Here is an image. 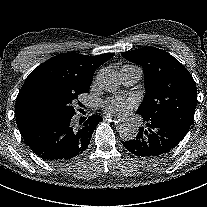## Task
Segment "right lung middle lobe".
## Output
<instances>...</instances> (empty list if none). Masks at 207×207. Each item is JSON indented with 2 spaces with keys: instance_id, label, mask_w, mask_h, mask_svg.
<instances>
[{
  "instance_id": "1",
  "label": "right lung middle lobe",
  "mask_w": 207,
  "mask_h": 207,
  "mask_svg": "<svg viewBox=\"0 0 207 207\" xmlns=\"http://www.w3.org/2000/svg\"><path fill=\"white\" fill-rule=\"evenodd\" d=\"M75 97L38 91L28 99L29 109L43 121L70 119L75 115ZM79 105L82 104L79 102Z\"/></svg>"
}]
</instances>
